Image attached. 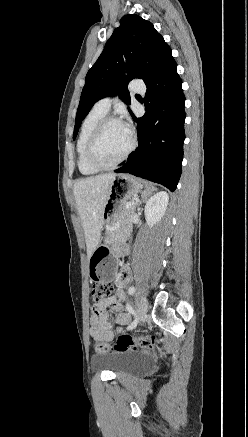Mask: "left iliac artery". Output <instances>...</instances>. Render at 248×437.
Here are the masks:
<instances>
[{"instance_id": "left-iliac-artery-1", "label": "left iliac artery", "mask_w": 248, "mask_h": 437, "mask_svg": "<svg viewBox=\"0 0 248 437\" xmlns=\"http://www.w3.org/2000/svg\"><path fill=\"white\" fill-rule=\"evenodd\" d=\"M136 289L135 287H130L128 290L129 295H133L135 293ZM127 309L130 313H132L135 316V319L133 320V322L131 324L128 325L127 329H133L136 327L137 323H138V318L136 316V313L134 311V309L128 304Z\"/></svg>"}]
</instances>
